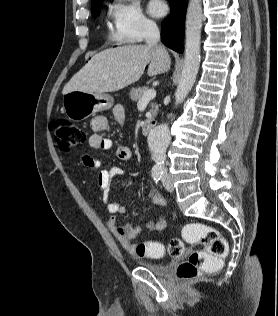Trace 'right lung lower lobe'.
Instances as JSON below:
<instances>
[{
  "mask_svg": "<svg viewBox=\"0 0 278 316\" xmlns=\"http://www.w3.org/2000/svg\"><path fill=\"white\" fill-rule=\"evenodd\" d=\"M171 14L164 21L161 40L176 52H183L184 19L188 0H168Z\"/></svg>",
  "mask_w": 278,
  "mask_h": 316,
  "instance_id": "obj_1",
  "label": "right lung lower lobe"
}]
</instances>
